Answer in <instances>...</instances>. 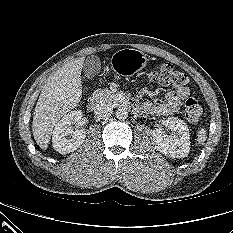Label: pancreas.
Wrapping results in <instances>:
<instances>
[{
  "label": "pancreas",
  "instance_id": "cf45deb5",
  "mask_svg": "<svg viewBox=\"0 0 233 233\" xmlns=\"http://www.w3.org/2000/svg\"><path fill=\"white\" fill-rule=\"evenodd\" d=\"M94 95L100 102L107 103L109 105L115 106L119 103L118 96L113 90L99 89L95 91Z\"/></svg>",
  "mask_w": 233,
  "mask_h": 233
}]
</instances>
